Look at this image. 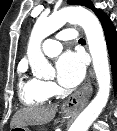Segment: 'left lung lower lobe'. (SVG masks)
Instances as JSON below:
<instances>
[{"instance_id": "left-lung-lower-lobe-1", "label": "left lung lower lobe", "mask_w": 117, "mask_h": 131, "mask_svg": "<svg viewBox=\"0 0 117 131\" xmlns=\"http://www.w3.org/2000/svg\"><path fill=\"white\" fill-rule=\"evenodd\" d=\"M97 17L99 18L108 48V53L111 62V68L113 73V81H114V89L117 90V32L116 28L112 24L110 18L104 14L101 10L96 13Z\"/></svg>"}]
</instances>
